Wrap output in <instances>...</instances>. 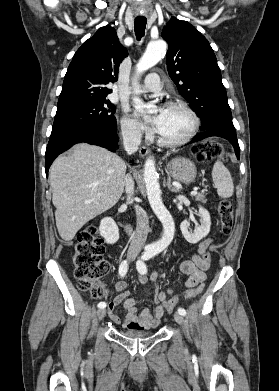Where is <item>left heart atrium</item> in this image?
Listing matches in <instances>:
<instances>
[{"label": "left heart atrium", "mask_w": 279, "mask_h": 391, "mask_svg": "<svg viewBox=\"0 0 279 391\" xmlns=\"http://www.w3.org/2000/svg\"><path fill=\"white\" fill-rule=\"evenodd\" d=\"M164 110L163 108H159L158 111H157V114L155 116V119H154V126L157 130L158 126H159V123H160V120L164 114Z\"/></svg>", "instance_id": "obj_1"}]
</instances>
